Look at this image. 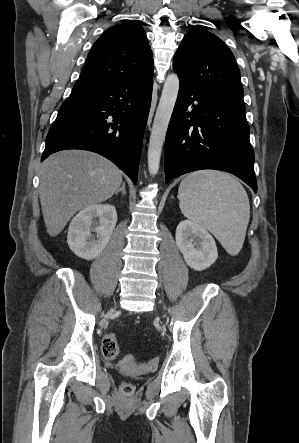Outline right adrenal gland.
<instances>
[{
    "label": "right adrenal gland",
    "instance_id": "1",
    "mask_svg": "<svg viewBox=\"0 0 299 443\" xmlns=\"http://www.w3.org/2000/svg\"><path fill=\"white\" fill-rule=\"evenodd\" d=\"M119 192H122L124 196L126 195L125 182L122 183V187L115 194L117 195Z\"/></svg>",
    "mask_w": 299,
    "mask_h": 443
}]
</instances>
